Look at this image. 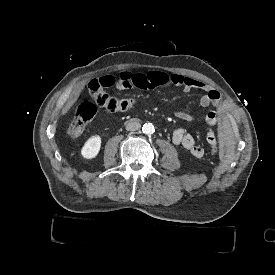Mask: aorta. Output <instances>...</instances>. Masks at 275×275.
<instances>
[{
	"instance_id": "obj_1",
	"label": "aorta",
	"mask_w": 275,
	"mask_h": 275,
	"mask_svg": "<svg viewBox=\"0 0 275 275\" xmlns=\"http://www.w3.org/2000/svg\"><path fill=\"white\" fill-rule=\"evenodd\" d=\"M154 131H155V128H154L153 124H151V123H145L142 127V132L145 135H151L154 133Z\"/></svg>"
}]
</instances>
